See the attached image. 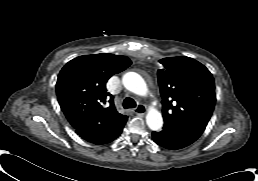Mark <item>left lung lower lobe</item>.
I'll use <instances>...</instances> for the list:
<instances>
[{
	"label": "left lung lower lobe",
	"instance_id": "obj_1",
	"mask_svg": "<svg viewBox=\"0 0 258 181\" xmlns=\"http://www.w3.org/2000/svg\"><path fill=\"white\" fill-rule=\"evenodd\" d=\"M201 134L183 126L165 123L162 131L152 133V138L164 148L177 150L192 144Z\"/></svg>",
	"mask_w": 258,
	"mask_h": 181
}]
</instances>
